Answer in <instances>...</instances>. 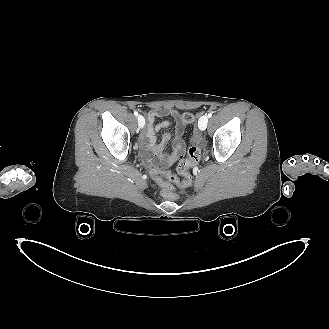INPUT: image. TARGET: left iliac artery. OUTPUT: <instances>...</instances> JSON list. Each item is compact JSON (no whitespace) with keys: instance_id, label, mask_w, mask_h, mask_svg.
I'll list each match as a JSON object with an SVG mask.
<instances>
[{"instance_id":"1","label":"left iliac artery","mask_w":329,"mask_h":329,"mask_svg":"<svg viewBox=\"0 0 329 329\" xmlns=\"http://www.w3.org/2000/svg\"><path fill=\"white\" fill-rule=\"evenodd\" d=\"M213 115V112L208 113V117L211 118Z\"/></svg>"}]
</instances>
